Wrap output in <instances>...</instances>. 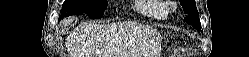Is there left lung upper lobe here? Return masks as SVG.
<instances>
[{
	"label": "left lung upper lobe",
	"mask_w": 249,
	"mask_h": 57,
	"mask_svg": "<svg viewBox=\"0 0 249 57\" xmlns=\"http://www.w3.org/2000/svg\"><path fill=\"white\" fill-rule=\"evenodd\" d=\"M180 3L184 9V13L187 14V17L184 18V21L188 24H191L198 30H201L199 14L196 8L194 0H180Z\"/></svg>",
	"instance_id": "obj_1"
}]
</instances>
